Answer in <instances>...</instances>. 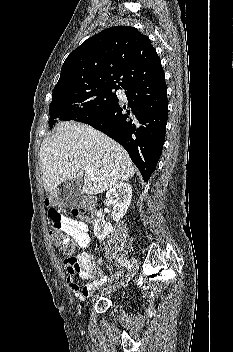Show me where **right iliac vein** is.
<instances>
[{
    "instance_id": "1",
    "label": "right iliac vein",
    "mask_w": 233,
    "mask_h": 352,
    "mask_svg": "<svg viewBox=\"0 0 233 352\" xmlns=\"http://www.w3.org/2000/svg\"><path fill=\"white\" fill-rule=\"evenodd\" d=\"M132 264H133V271L131 272V274L129 276H127L123 281L117 283L114 286L108 287V288H104L101 292V294H109L111 292L116 291L119 288H122L124 286L127 285V283L130 281L131 277L133 276L134 272L137 269V260L135 258H132ZM98 297V295L95 296L94 299H96Z\"/></svg>"
}]
</instances>
